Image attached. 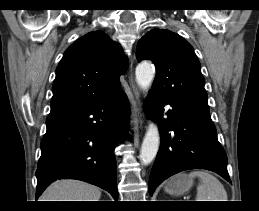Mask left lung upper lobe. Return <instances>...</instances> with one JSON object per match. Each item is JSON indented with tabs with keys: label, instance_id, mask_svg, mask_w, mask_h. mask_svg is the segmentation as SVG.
Returning a JSON list of instances; mask_svg holds the SVG:
<instances>
[{
	"label": "left lung upper lobe",
	"instance_id": "1",
	"mask_svg": "<svg viewBox=\"0 0 259 211\" xmlns=\"http://www.w3.org/2000/svg\"><path fill=\"white\" fill-rule=\"evenodd\" d=\"M136 58L154 63L156 77L152 90L158 95L209 109L199 60L193 47L181 36L153 29L139 40Z\"/></svg>",
	"mask_w": 259,
	"mask_h": 211
}]
</instances>
